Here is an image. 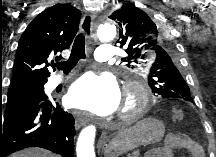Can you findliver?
Returning <instances> with one entry per match:
<instances>
[{
    "mask_svg": "<svg viewBox=\"0 0 216 157\" xmlns=\"http://www.w3.org/2000/svg\"><path fill=\"white\" fill-rule=\"evenodd\" d=\"M11 157H56V154L41 148H28L12 154Z\"/></svg>",
    "mask_w": 216,
    "mask_h": 157,
    "instance_id": "liver-1",
    "label": "liver"
}]
</instances>
